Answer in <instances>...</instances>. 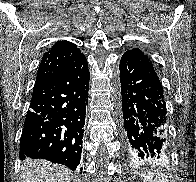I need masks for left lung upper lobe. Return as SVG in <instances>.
Listing matches in <instances>:
<instances>
[{
  "mask_svg": "<svg viewBox=\"0 0 196 182\" xmlns=\"http://www.w3.org/2000/svg\"><path fill=\"white\" fill-rule=\"evenodd\" d=\"M124 55H129L133 59H135L143 64H146L147 66H149L150 68H152L156 71V69L154 68V66L152 64V61H150L148 59L147 55H145L139 48L129 50V51L125 52Z\"/></svg>",
  "mask_w": 196,
  "mask_h": 182,
  "instance_id": "left-lung-upper-lobe-1",
  "label": "left lung upper lobe"
}]
</instances>
